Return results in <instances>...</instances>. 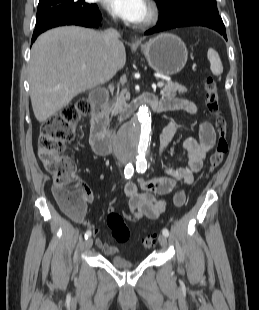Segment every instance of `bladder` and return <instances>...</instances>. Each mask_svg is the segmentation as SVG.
I'll use <instances>...</instances> for the list:
<instances>
[{"label":"bladder","instance_id":"31cf9c89","mask_svg":"<svg viewBox=\"0 0 259 310\" xmlns=\"http://www.w3.org/2000/svg\"><path fill=\"white\" fill-rule=\"evenodd\" d=\"M109 261L114 267L119 269H130L134 266V263L120 255H113Z\"/></svg>","mask_w":259,"mask_h":310}]
</instances>
